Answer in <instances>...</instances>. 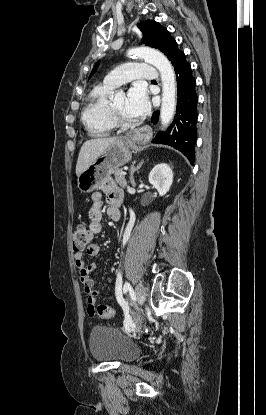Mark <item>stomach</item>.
I'll return each mask as SVG.
<instances>
[{
    "instance_id": "0dacf381",
    "label": "stomach",
    "mask_w": 266,
    "mask_h": 415,
    "mask_svg": "<svg viewBox=\"0 0 266 415\" xmlns=\"http://www.w3.org/2000/svg\"><path fill=\"white\" fill-rule=\"evenodd\" d=\"M130 141L120 138L110 144L97 159L79 175L78 188L82 193H90L108 180L119 167L131 160Z\"/></svg>"
}]
</instances>
